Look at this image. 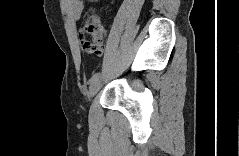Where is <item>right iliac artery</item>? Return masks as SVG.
<instances>
[{
    "instance_id": "obj_1",
    "label": "right iliac artery",
    "mask_w": 239,
    "mask_h": 156,
    "mask_svg": "<svg viewBox=\"0 0 239 156\" xmlns=\"http://www.w3.org/2000/svg\"><path fill=\"white\" fill-rule=\"evenodd\" d=\"M99 76H100V73H95L89 80V84L92 85L93 83H95L98 80Z\"/></svg>"
}]
</instances>
